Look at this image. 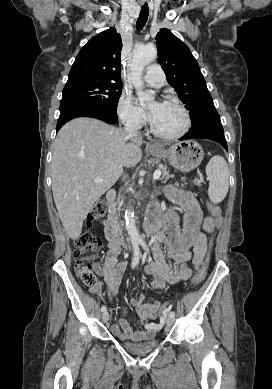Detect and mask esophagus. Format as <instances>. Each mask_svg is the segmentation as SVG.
<instances>
[{"mask_svg":"<svg viewBox=\"0 0 272 389\" xmlns=\"http://www.w3.org/2000/svg\"><path fill=\"white\" fill-rule=\"evenodd\" d=\"M150 148H154L155 147V145H153V144H149L148 145Z\"/></svg>","mask_w":272,"mask_h":389,"instance_id":"esophagus-1","label":"esophagus"}]
</instances>
